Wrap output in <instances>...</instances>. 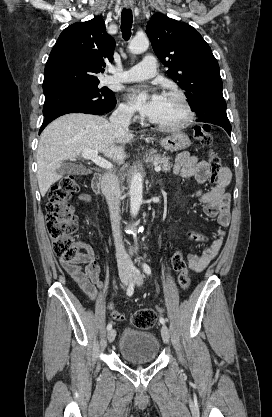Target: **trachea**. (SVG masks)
Returning a JSON list of instances; mask_svg holds the SVG:
<instances>
[{
    "instance_id": "1",
    "label": "trachea",
    "mask_w": 272,
    "mask_h": 417,
    "mask_svg": "<svg viewBox=\"0 0 272 417\" xmlns=\"http://www.w3.org/2000/svg\"><path fill=\"white\" fill-rule=\"evenodd\" d=\"M133 22L132 10L123 9L121 14V28L122 34L125 40H128L131 36V27Z\"/></svg>"
}]
</instances>
